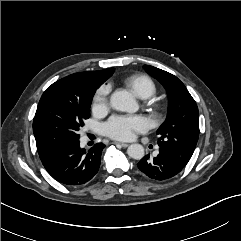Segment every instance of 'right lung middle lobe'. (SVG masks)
<instances>
[{"instance_id": "right-lung-middle-lobe-1", "label": "right lung middle lobe", "mask_w": 241, "mask_h": 241, "mask_svg": "<svg viewBox=\"0 0 241 241\" xmlns=\"http://www.w3.org/2000/svg\"><path fill=\"white\" fill-rule=\"evenodd\" d=\"M94 91L82 100L53 97L36 111L33 132L38 153L79 139L78 131L90 116Z\"/></svg>"}]
</instances>
